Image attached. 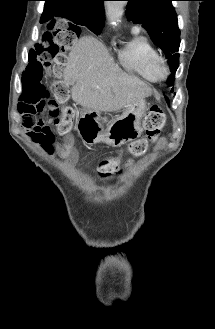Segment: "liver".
<instances>
[{
  "label": "liver",
  "mask_w": 215,
  "mask_h": 329,
  "mask_svg": "<svg viewBox=\"0 0 215 329\" xmlns=\"http://www.w3.org/2000/svg\"><path fill=\"white\" fill-rule=\"evenodd\" d=\"M64 83L73 86L74 102L96 112L118 111L152 94L146 83L123 72L103 44L90 36L74 42L65 65Z\"/></svg>",
  "instance_id": "6515ba94"
}]
</instances>
